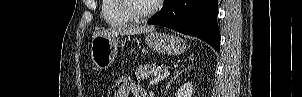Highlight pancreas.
<instances>
[{
    "label": "pancreas",
    "mask_w": 302,
    "mask_h": 97,
    "mask_svg": "<svg viewBox=\"0 0 302 97\" xmlns=\"http://www.w3.org/2000/svg\"><path fill=\"white\" fill-rule=\"evenodd\" d=\"M156 67H158L156 64L141 65L136 69L135 75L138 80L148 79L149 77H152L154 75ZM162 69H166V66L163 65ZM158 71H160V70H158Z\"/></svg>",
    "instance_id": "obj_1"
}]
</instances>
